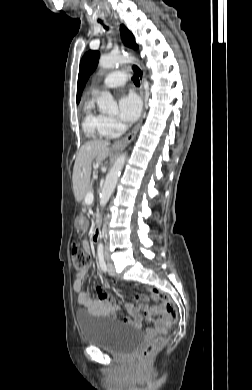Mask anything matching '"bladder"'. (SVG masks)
I'll use <instances>...</instances> for the list:
<instances>
[{
  "label": "bladder",
  "mask_w": 252,
  "mask_h": 390,
  "mask_svg": "<svg viewBox=\"0 0 252 390\" xmlns=\"http://www.w3.org/2000/svg\"><path fill=\"white\" fill-rule=\"evenodd\" d=\"M83 341L92 346L106 349L115 354H125L144 339L139 330L102 316L77 314Z\"/></svg>",
  "instance_id": "obj_1"
}]
</instances>
